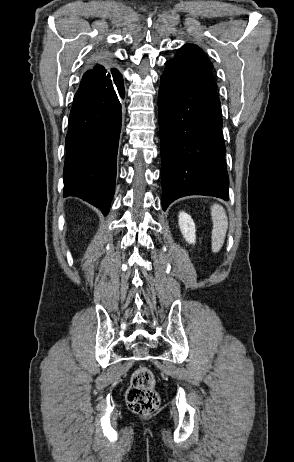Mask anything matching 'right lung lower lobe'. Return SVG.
I'll list each match as a JSON object with an SVG mask.
<instances>
[{
    "mask_svg": "<svg viewBox=\"0 0 294 462\" xmlns=\"http://www.w3.org/2000/svg\"><path fill=\"white\" fill-rule=\"evenodd\" d=\"M124 95L121 74L80 83L69 116L64 195L82 198L105 215L114 195Z\"/></svg>",
    "mask_w": 294,
    "mask_h": 462,
    "instance_id": "98d812e1",
    "label": "right lung lower lobe"
}]
</instances>
